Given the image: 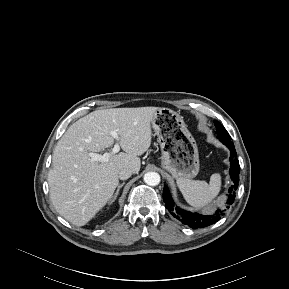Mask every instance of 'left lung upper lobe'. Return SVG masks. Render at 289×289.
<instances>
[{
  "instance_id": "left-lung-upper-lobe-1",
  "label": "left lung upper lobe",
  "mask_w": 289,
  "mask_h": 289,
  "mask_svg": "<svg viewBox=\"0 0 289 289\" xmlns=\"http://www.w3.org/2000/svg\"><path fill=\"white\" fill-rule=\"evenodd\" d=\"M214 124L216 126V130H217L216 133L218 135V138L221 141L231 140V137H230L229 133L227 132V130L224 128V126L220 122L215 120Z\"/></svg>"
}]
</instances>
